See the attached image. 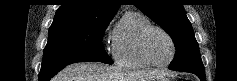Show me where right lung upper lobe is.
<instances>
[{
    "instance_id": "1",
    "label": "right lung upper lobe",
    "mask_w": 237,
    "mask_h": 81,
    "mask_svg": "<svg viewBox=\"0 0 237 81\" xmlns=\"http://www.w3.org/2000/svg\"><path fill=\"white\" fill-rule=\"evenodd\" d=\"M120 0H63L54 19L66 17L111 20L116 14Z\"/></svg>"
}]
</instances>
